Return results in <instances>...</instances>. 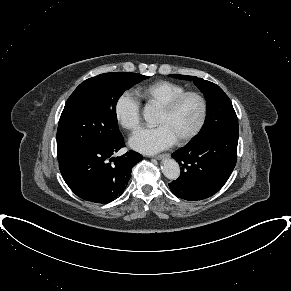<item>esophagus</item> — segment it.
Masks as SVG:
<instances>
[{
	"label": "esophagus",
	"instance_id": "obj_1",
	"mask_svg": "<svg viewBox=\"0 0 291 291\" xmlns=\"http://www.w3.org/2000/svg\"><path fill=\"white\" fill-rule=\"evenodd\" d=\"M169 156H170L169 153H164V154H159V155L155 156V158L157 160H163L164 158H168Z\"/></svg>",
	"mask_w": 291,
	"mask_h": 291
}]
</instances>
